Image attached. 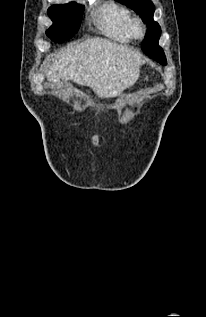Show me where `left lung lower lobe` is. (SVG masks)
Segmentation results:
<instances>
[{
    "label": "left lung lower lobe",
    "mask_w": 206,
    "mask_h": 317,
    "mask_svg": "<svg viewBox=\"0 0 206 317\" xmlns=\"http://www.w3.org/2000/svg\"><path fill=\"white\" fill-rule=\"evenodd\" d=\"M147 50V49H146ZM153 50L152 49H150V50H147V52H148V56L150 57V58H152V59H154V58H156V54L154 53V52H152Z\"/></svg>",
    "instance_id": "0a47b994"
}]
</instances>
